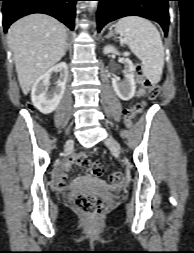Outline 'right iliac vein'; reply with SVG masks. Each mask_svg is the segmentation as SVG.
Instances as JSON below:
<instances>
[{
    "mask_svg": "<svg viewBox=\"0 0 194 253\" xmlns=\"http://www.w3.org/2000/svg\"><path fill=\"white\" fill-rule=\"evenodd\" d=\"M73 145V140H68V142H67V144H66V146L67 147H71Z\"/></svg>",
    "mask_w": 194,
    "mask_h": 253,
    "instance_id": "63e3f726",
    "label": "right iliac vein"
}]
</instances>
